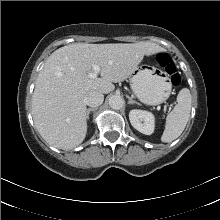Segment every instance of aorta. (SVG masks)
Listing matches in <instances>:
<instances>
[{
  "mask_svg": "<svg viewBox=\"0 0 220 220\" xmlns=\"http://www.w3.org/2000/svg\"><path fill=\"white\" fill-rule=\"evenodd\" d=\"M109 106L114 110H119L124 106V100L121 96L113 95L109 98Z\"/></svg>",
  "mask_w": 220,
  "mask_h": 220,
  "instance_id": "aorta-1",
  "label": "aorta"
}]
</instances>
